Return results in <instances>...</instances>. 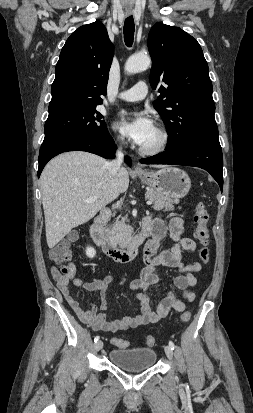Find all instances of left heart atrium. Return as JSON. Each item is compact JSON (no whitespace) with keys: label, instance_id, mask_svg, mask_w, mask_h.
Segmentation results:
<instances>
[{"label":"left heart atrium","instance_id":"39dd6f15","mask_svg":"<svg viewBox=\"0 0 253 413\" xmlns=\"http://www.w3.org/2000/svg\"><path fill=\"white\" fill-rule=\"evenodd\" d=\"M114 126L138 145H142L155 128L153 120L145 112H123Z\"/></svg>","mask_w":253,"mask_h":413}]
</instances>
